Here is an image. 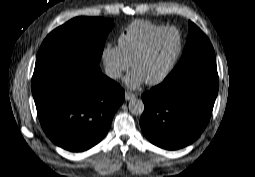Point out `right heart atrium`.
I'll return each mask as SVG.
<instances>
[{
    "instance_id": "1",
    "label": "right heart atrium",
    "mask_w": 255,
    "mask_h": 177,
    "mask_svg": "<svg viewBox=\"0 0 255 177\" xmlns=\"http://www.w3.org/2000/svg\"><path fill=\"white\" fill-rule=\"evenodd\" d=\"M102 61L108 76L114 80L122 77L130 68V63L125 58L119 45L108 43L102 50Z\"/></svg>"
}]
</instances>
